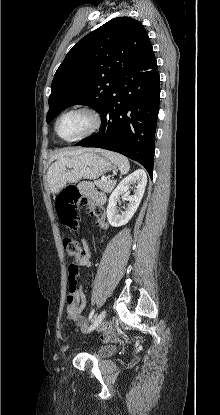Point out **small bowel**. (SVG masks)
Wrapping results in <instances>:
<instances>
[{
    "mask_svg": "<svg viewBox=\"0 0 220 415\" xmlns=\"http://www.w3.org/2000/svg\"><path fill=\"white\" fill-rule=\"evenodd\" d=\"M80 191L84 197V202L88 208H93L94 205L103 206L106 202V196L92 187L90 183H83L80 186ZM99 225L102 228L107 226L106 217H96ZM83 255L81 259L76 263L77 270L88 269L91 266L92 250L90 243L87 239H83L82 242ZM70 268V267H69ZM86 305L85 295L82 292L81 286H78V290L74 294V300L72 303L66 304L67 319L77 324L81 329L87 328V322L84 316V309ZM106 340V339H103Z\"/></svg>",
    "mask_w": 220,
    "mask_h": 415,
    "instance_id": "c3829d8e",
    "label": "small bowel"
}]
</instances>
